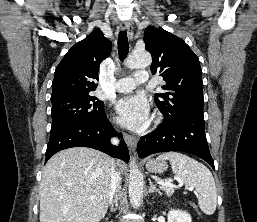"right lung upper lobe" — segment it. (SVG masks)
<instances>
[{"instance_id":"right-lung-upper-lobe-1","label":"right lung upper lobe","mask_w":257,"mask_h":222,"mask_svg":"<svg viewBox=\"0 0 257 222\" xmlns=\"http://www.w3.org/2000/svg\"><path fill=\"white\" fill-rule=\"evenodd\" d=\"M111 42L99 29L76 43L55 70L51 101L92 95L100 63L110 55Z\"/></svg>"}]
</instances>
